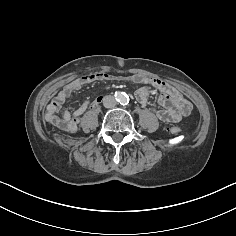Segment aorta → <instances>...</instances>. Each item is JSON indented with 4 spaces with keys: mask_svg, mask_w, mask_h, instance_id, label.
Masks as SVG:
<instances>
[{
    "mask_svg": "<svg viewBox=\"0 0 236 236\" xmlns=\"http://www.w3.org/2000/svg\"><path fill=\"white\" fill-rule=\"evenodd\" d=\"M118 101H119L121 104H126V103H128L129 98H128L127 95L122 94V95H120V96L118 97Z\"/></svg>",
    "mask_w": 236,
    "mask_h": 236,
    "instance_id": "obj_1",
    "label": "aorta"
}]
</instances>
